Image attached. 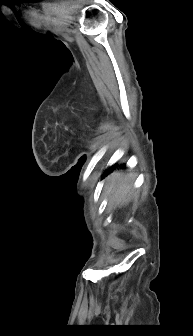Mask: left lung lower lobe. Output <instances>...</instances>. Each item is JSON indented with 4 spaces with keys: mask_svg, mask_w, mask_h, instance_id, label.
<instances>
[{
    "mask_svg": "<svg viewBox=\"0 0 193 336\" xmlns=\"http://www.w3.org/2000/svg\"><path fill=\"white\" fill-rule=\"evenodd\" d=\"M112 169H113V167H111V168L109 169V171L112 170Z\"/></svg>",
    "mask_w": 193,
    "mask_h": 336,
    "instance_id": "0a47b994",
    "label": "left lung lower lobe"
}]
</instances>
